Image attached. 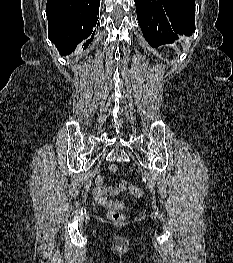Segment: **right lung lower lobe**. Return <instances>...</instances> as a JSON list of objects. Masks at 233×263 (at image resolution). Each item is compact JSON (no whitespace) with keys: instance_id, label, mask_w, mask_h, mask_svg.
I'll use <instances>...</instances> for the list:
<instances>
[{"instance_id":"1","label":"right lung lower lobe","mask_w":233,"mask_h":263,"mask_svg":"<svg viewBox=\"0 0 233 263\" xmlns=\"http://www.w3.org/2000/svg\"><path fill=\"white\" fill-rule=\"evenodd\" d=\"M100 0H47L48 38L62 55L75 51L84 41L93 40L99 17Z\"/></svg>"}]
</instances>
